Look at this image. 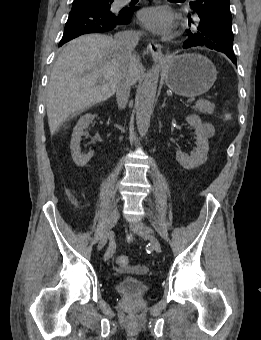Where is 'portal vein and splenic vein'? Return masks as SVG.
Wrapping results in <instances>:
<instances>
[{
  "label": "portal vein and splenic vein",
  "mask_w": 261,
  "mask_h": 340,
  "mask_svg": "<svg viewBox=\"0 0 261 340\" xmlns=\"http://www.w3.org/2000/svg\"><path fill=\"white\" fill-rule=\"evenodd\" d=\"M196 98H190L186 101V103H193L195 102Z\"/></svg>",
  "instance_id": "portal-vein-and-splenic-vein-1"
}]
</instances>
